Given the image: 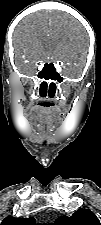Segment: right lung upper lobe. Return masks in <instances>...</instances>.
<instances>
[{"label": "right lung upper lobe", "mask_w": 101, "mask_h": 225, "mask_svg": "<svg viewBox=\"0 0 101 225\" xmlns=\"http://www.w3.org/2000/svg\"><path fill=\"white\" fill-rule=\"evenodd\" d=\"M1 225H38L33 217L30 218H14L6 217Z\"/></svg>", "instance_id": "right-lung-upper-lobe-1"}]
</instances>
